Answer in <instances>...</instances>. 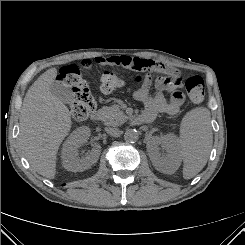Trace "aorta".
Segmentation results:
<instances>
[{"instance_id":"aorta-1","label":"aorta","mask_w":245,"mask_h":245,"mask_svg":"<svg viewBox=\"0 0 245 245\" xmlns=\"http://www.w3.org/2000/svg\"><path fill=\"white\" fill-rule=\"evenodd\" d=\"M139 138V133L136 129H127L124 133V139L127 142H136Z\"/></svg>"}]
</instances>
